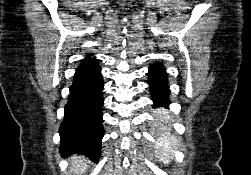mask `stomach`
I'll return each mask as SVG.
<instances>
[{
  "label": "stomach",
  "mask_w": 251,
  "mask_h": 175,
  "mask_svg": "<svg viewBox=\"0 0 251 175\" xmlns=\"http://www.w3.org/2000/svg\"><path fill=\"white\" fill-rule=\"evenodd\" d=\"M164 133H168V130H164ZM170 133H173V130H170Z\"/></svg>",
  "instance_id": "1"
}]
</instances>
